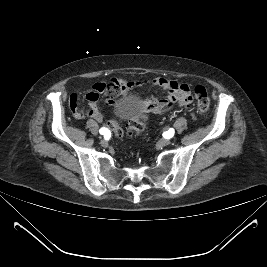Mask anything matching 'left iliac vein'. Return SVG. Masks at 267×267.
<instances>
[{
  "label": "left iliac vein",
  "mask_w": 267,
  "mask_h": 267,
  "mask_svg": "<svg viewBox=\"0 0 267 267\" xmlns=\"http://www.w3.org/2000/svg\"><path fill=\"white\" fill-rule=\"evenodd\" d=\"M171 143V140L170 139H161L160 141H159V145L160 146H167V145H169Z\"/></svg>",
  "instance_id": "1"
}]
</instances>
